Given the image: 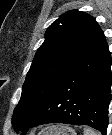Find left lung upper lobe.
<instances>
[{"instance_id": "1", "label": "left lung upper lobe", "mask_w": 112, "mask_h": 135, "mask_svg": "<svg viewBox=\"0 0 112 135\" xmlns=\"http://www.w3.org/2000/svg\"><path fill=\"white\" fill-rule=\"evenodd\" d=\"M104 33L85 12L69 11L47 29L45 41L37 50L14 109L12 126L22 131L38 108L61 86Z\"/></svg>"}]
</instances>
